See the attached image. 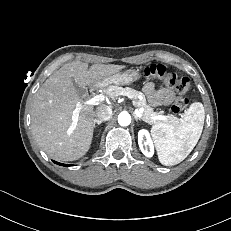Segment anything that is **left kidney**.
<instances>
[{
	"mask_svg": "<svg viewBox=\"0 0 231 231\" xmlns=\"http://www.w3.org/2000/svg\"><path fill=\"white\" fill-rule=\"evenodd\" d=\"M138 144L141 152L147 156L152 157L154 154V145L150 134L147 130L142 129L138 132Z\"/></svg>",
	"mask_w": 231,
	"mask_h": 231,
	"instance_id": "left-kidney-1",
	"label": "left kidney"
}]
</instances>
